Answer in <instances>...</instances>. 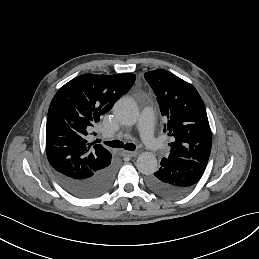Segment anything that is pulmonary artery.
Returning a JSON list of instances; mask_svg holds the SVG:
<instances>
[{"instance_id": "obj_1", "label": "pulmonary artery", "mask_w": 259, "mask_h": 259, "mask_svg": "<svg viewBox=\"0 0 259 259\" xmlns=\"http://www.w3.org/2000/svg\"><path fill=\"white\" fill-rule=\"evenodd\" d=\"M149 118H154V112H150L148 110H143L140 112V114L137 116V118L132 122V123H136V122H147L148 125H152V122L149 121ZM104 137L109 138L112 137L111 133H107L104 135Z\"/></svg>"}]
</instances>
